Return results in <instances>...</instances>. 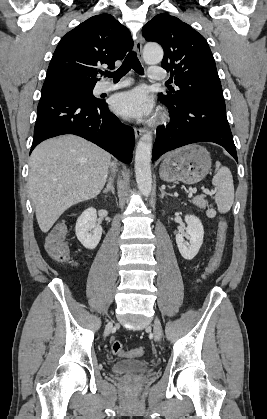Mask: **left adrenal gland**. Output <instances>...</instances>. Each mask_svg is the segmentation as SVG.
I'll return each mask as SVG.
<instances>
[{
    "label": "left adrenal gland",
    "mask_w": 267,
    "mask_h": 419,
    "mask_svg": "<svg viewBox=\"0 0 267 419\" xmlns=\"http://www.w3.org/2000/svg\"><path fill=\"white\" fill-rule=\"evenodd\" d=\"M160 191H161V198H162V199H163V198H164V196H166V195L172 196V194L166 193V192L164 191V189H163V188H160Z\"/></svg>",
    "instance_id": "a2214340"
}]
</instances>
